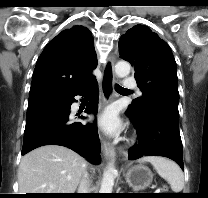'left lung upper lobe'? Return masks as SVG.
I'll return each mask as SVG.
<instances>
[{
  "instance_id": "1",
  "label": "left lung upper lobe",
  "mask_w": 208,
  "mask_h": 198,
  "mask_svg": "<svg viewBox=\"0 0 208 198\" xmlns=\"http://www.w3.org/2000/svg\"><path fill=\"white\" fill-rule=\"evenodd\" d=\"M119 54L135 70L142 97L129 105L126 114L141 119L148 110L161 109L179 120L176 63L168 44L145 25H136L119 39Z\"/></svg>"
}]
</instances>
